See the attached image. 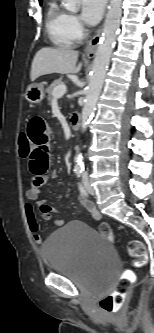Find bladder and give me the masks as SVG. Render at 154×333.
<instances>
[{
  "mask_svg": "<svg viewBox=\"0 0 154 333\" xmlns=\"http://www.w3.org/2000/svg\"><path fill=\"white\" fill-rule=\"evenodd\" d=\"M41 253L48 270L101 291L110 287L118 267L111 243L81 221H70L53 231L41 246Z\"/></svg>",
  "mask_w": 154,
  "mask_h": 333,
  "instance_id": "obj_1",
  "label": "bladder"
}]
</instances>
